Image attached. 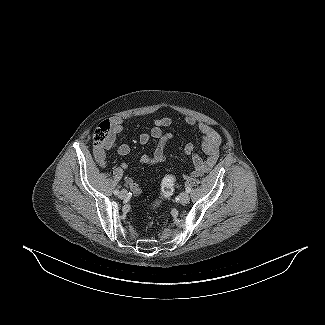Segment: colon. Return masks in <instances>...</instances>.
I'll list each match as a JSON object with an SVG mask.
<instances>
[{"instance_id": "1", "label": "colon", "mask_w": 325, "mask_h": 325, "mask_svg": "<svg viewBox=\"0 0 325 325\" xmlns=\"http://www.w3.org/2000/svg\"><path fill=\"white\" fill-rule=\"evenodd\" d=\"M110 133V123L102 122L100 123L93 134V142L96 146L101 145L105 142ZM176 177L173 174L166 175L161 182V195L159 199L154 201L151 208H157L161 206L165 200L169 199L175 190Z\"/></svg>"}]
</instances>
